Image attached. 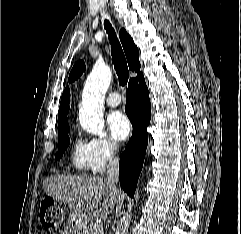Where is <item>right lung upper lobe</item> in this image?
I'll use <instances>...</instances> for the list:
<instances>
[{
  "instance_id": "cb5924a9",
  "label": "right lung upper lobe",
  "mask_w": 241,
  "mask_h": 234,
  "mask_svg": "<svg viewBox=\"0 0 241 234\" xmlns=\"http://www.w3.org/2000/svg\"><path fill=\"white\" fill-rule=\"evenodd\" d=\"M120 40L125 51L128 65L130 70L137 72V76L141 75L140 72V62L138 57V48L134 44L130 35L124 30H120ZM86 67L83 61H79L73 67L70 75H69V82L75 81L80 75L85 71ZM69 102H70V91L69 88H66L62 98L61 103L58 111V131L64 128L69 127L67 124V114L69 111Z\"/></svg>"
}]
</instances>
